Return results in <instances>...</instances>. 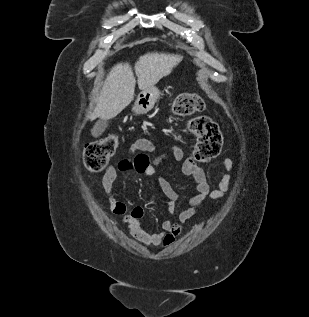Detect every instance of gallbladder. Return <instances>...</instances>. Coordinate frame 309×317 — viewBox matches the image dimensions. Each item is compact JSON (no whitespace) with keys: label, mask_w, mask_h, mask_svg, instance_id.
Here are the masks:
<instances>
[{"label":"gallbladder","mask_w":309,"mask_h":317,"mask_svg":"<svg viewBox=\"0 0 309 317\" xmlns=\"http://www.w3.org/2000/svg\"><path fill=\"white\" fill-rule=\"evenodd\" d=\"M107 126H108L107 120L99 119L91 130L92 136L99 137L105 131Z\"/></svg>","instance_id":"gallbladder-1"}]
</instances>
